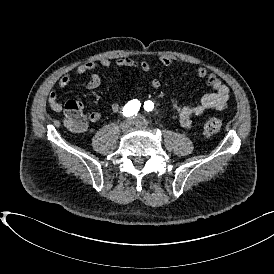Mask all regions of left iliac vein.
<instances>
[{"mask_svg":"<svg viewBox=\"0 0 274 274\" xmlns=\"http://www.w3.org/2000/svg\"><path fill=\"white\" fill-rule=\"evenodd\" d=\"M134 123L138 127H147L149 125L148 120L143 116H137Z\"/></svg>","mask_w":274,"mask_h":274,"instance_id":"left-iliac-vein-1","label":"left iliac vein"}]
</instances>
